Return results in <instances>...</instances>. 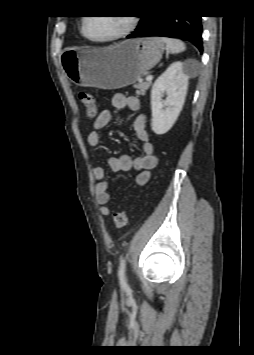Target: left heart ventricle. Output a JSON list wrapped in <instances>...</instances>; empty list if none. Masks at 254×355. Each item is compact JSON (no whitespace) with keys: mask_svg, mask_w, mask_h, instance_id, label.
I'll use <instances>...</instances> for the list:
<instances>
[{"mask_svg":"<svg viewBox=\"0 0 254 355\" xmlns=\"http://www.w3.org/2000/svg\"><path fill=\"white\" fill-rule=\"evenodd\" d=\"M127 17H92L86 24V33L96 39L109 38L121 32L127 25Z\"/></svg>","mask_w":254,"mask_h":355,"instance_id":"1","label":"left heart ventricle"}]
</instances>
